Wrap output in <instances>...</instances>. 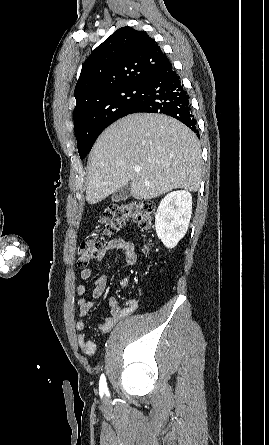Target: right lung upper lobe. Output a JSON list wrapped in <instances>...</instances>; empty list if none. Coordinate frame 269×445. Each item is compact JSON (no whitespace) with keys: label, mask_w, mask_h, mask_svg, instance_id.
<instances>
[{"label":"right lung upper lobe","mask_w":269,"mask_h":445,"mask_svg":"<svg viewBox=\"0 0 269 445\" xmlns=\"http://www.w3.org/2000/svg\"><path fill=\"white\" fill-rule=\"evenodd\" d=\"M167 63L161 48L146 32L132 27L118 29L83 64L75 87V110L122 86L146 84Z\"/></svg>","instance_id":"right-lung-upper-lobe-1"}]
</instances>
